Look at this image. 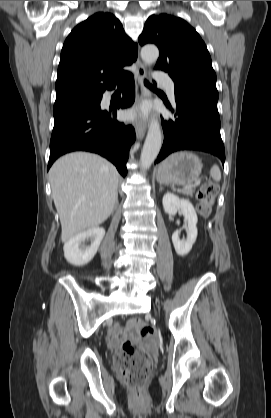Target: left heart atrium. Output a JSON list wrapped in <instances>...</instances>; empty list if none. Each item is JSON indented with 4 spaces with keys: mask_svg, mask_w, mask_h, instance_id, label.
Here are the masks:
<instances>
[{
    "mask_svg": "<svg viewBox=\"0 0 271 418\" xmlns=\"http://www.w3.org/2000/svg\"><path fill=\"white\" fill-rule=\"evenodd\" d=\"M145 113V108H141L139 110H131L128 112V118L133 120L138 118L139 116L143 115Z\"/></svg>",
    "mask_w": 271,
    "mask_h": 418,
    "instance_id": "39dd6f15",
    "label": "left heart atrium"
}]
</instances>
